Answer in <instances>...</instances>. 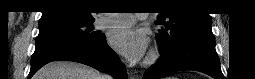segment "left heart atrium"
Listing matches in <instances>:
<instances>
[{
	"label": "left heart atrium",
	"mask_w": 255,
	"mask_h": 79,
	"mask_svg": "<svg viewBox=\"0 0 255 79\" xmlns=\"http://www.w3.org/2000/svg\"><path fill=\"white\" fill-rule=\"evenodd\" d=\"M111 46L130 62H138L145 56L148 38L140 30L121 28L114 30L110 36Z\"/></svg>",
	"instance_id": "obj_1"
}]
</instances>
